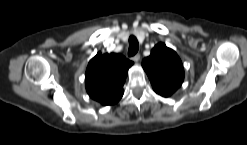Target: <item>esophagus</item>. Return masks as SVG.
Wrapping results in <instances>:
<instances>
[{
    "mask_svg": "<svg viewBox=\"0 0 247 145\" xmlns=\"http://www.w3.org/2000/svg\"><path fill=\"white\" fill-rule=\"evenodd\" d=\"M131 59L134 61V62H138L140 60V54H135L134 56L131 57Z\"/></svg>",
    "mask_w": 247,
    "mask_h": 145,
    "instance_id": "obj_1",
    "label": "esophagus"
}]
</instances>
